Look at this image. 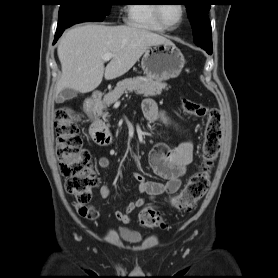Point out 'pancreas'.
<instances>
[{
    "label": "pancreas",
    "instance_id": "1",
    "mask_svg": "<svg viewBox=\"0 0 278 278\" xmlns=\"http://www.w3.org/2000/svg\"><path fill=\"white\" fill-rule=\"evenodd\" d=\"M167 88V84L163 83L161 80H155L149 77L145 79L142 78H128L117 83L114 90L110 91L105 95L103 99L102 109H106L108 106L116 102L124 93L136 92L139 95L157 96L162 93L164 89ZM100 115L104 114L100 111Z\"/></svg>",
    "mask_w": 278,
    "mask_h": 278
}]
</instances>
